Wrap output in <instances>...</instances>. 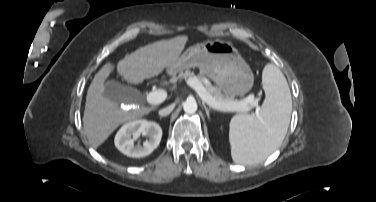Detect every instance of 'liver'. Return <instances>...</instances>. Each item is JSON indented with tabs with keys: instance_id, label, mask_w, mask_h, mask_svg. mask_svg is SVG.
I'll return each mask as SVG.
<instances>
[{
	"instance_id": "6515ba94",
	"label": "liver",
	"mask_w": 376,
	"mask_h": 202,
	"mask_svg": "<svg viewBox=\"0 0 376 202\" xmlns=\"http://www.w3.org/2000/svg\"><path fill=\"white\" fill-rule=\"evenodd\" d=\"M188 41V36L160 40L137 49L117 64L118 73L129 83L139 84L145 79L159 75L174 64ZM114 70L111 63L105 64L94 76L86 96L83 126L88 141L98 148L122 123L135 120L155 108L141 107L123 110L113 101L103 97L105 80Z\"/></svg>"
}]
</instances>
